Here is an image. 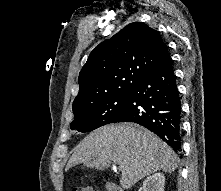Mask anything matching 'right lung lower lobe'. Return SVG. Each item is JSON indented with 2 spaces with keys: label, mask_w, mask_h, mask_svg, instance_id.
<instances>
[{
  "label": "right lung lower lobe",
  "mask_w": 221,
  "mask_h": 191,
  "mask_svg": "<svg viewBox=\"0 0 221 191\" xmlns=\"http://www.w3.org/2000/svg\"><path fill=\"white\" fill-rule=\"evenodd\" d=\"M116 122L138 123L181 151V102L169 55L133 88L130 103Z\"/></svg>",
  "instance_id": "right-lung-lower-lobe-1"
}]
</instances>
